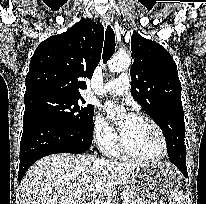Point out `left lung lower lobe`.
I'll use <instances>...</instances> for the list:
<instances>
[{
	"mask_svg": "<svg viewBox=\"0 0 206 204\" xmlns=\"http://www.w3.org/2000/svg\"><path fill=\"white\" fill-rule=\"evenodd\" d=\"M169 160L176 165L187 178L186 147L183 141L175 140L167 143Z\"/></svg>",
	"mask_w": 206,
	"mask_h": 204,
	"instance_id": "left-lung-lower-lobe-1",
	"label": "left lung lower lobe"
}]
</instances>
